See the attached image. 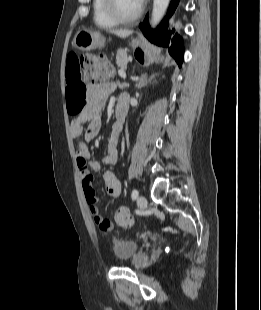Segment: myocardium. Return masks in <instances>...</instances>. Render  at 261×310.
Listing matches in <instances>:
<instances>
[{"instance_id":"myocardium-1","label":"myocardium","mask_w":261,"mask_h":310,"mask_svg":"<svg viewBox=\"0 0 261 310\" xmlns=\"http://www.w3.org/2000/svg\"><path fill=\"white\" fill-rule=\"evenodd\" d=\"M103 9L108 17L118 24H128L138 20L143 12L142 5L138 11L131 16H123L117 9L115 0H102Z\"/></svg>"}]
</instances>
